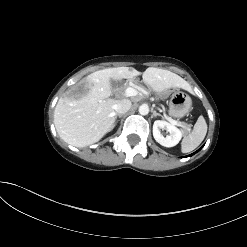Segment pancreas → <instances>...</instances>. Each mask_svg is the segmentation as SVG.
<instances>
[{
	"instance_id": "pancreas-1",
	"label": "pancreas",
	"mask_w": 247,
	"mask_h": 247,
	"mask_svg": "<svg viewBox=\"0 0 247 247\" xmlns=\"http://www.w3.org/2000/svg\"><path fill=\"white\" fill-rule=\"evenodd\" d=\"M180 125H181L183 128H187V126H186L184 123H180Z\"/></svg>"
}]
</instances>
